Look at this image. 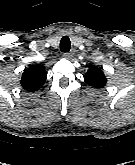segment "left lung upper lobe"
Returning <instances> with one entry per match:
<instances>
[{
  "mask_svg": "<svg viewBox=\"0 0 135 165\" xmlns=\"http://www.w3.org/2000/svg\"><path fill=\"white\" fill-rule=\"evenodd\" d=\"M84 80L88 85L96 88H103L107 83V79L103 71L97 67L89 68L88 72L84 76Z\"/></svg>",
  "mask_w": 135,
  "mask_h": 165,
  "instance_id": "obj_1",
  "label": "left lung upper lobe"
}]
</instances>
